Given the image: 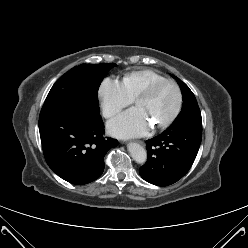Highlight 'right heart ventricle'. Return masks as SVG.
Returning <instances> with one entry per match:
<instances>
[{
    "label": "right heart ventricle",
    "instance_id": "1",
    "mask_svg": "<svg viewBox=\"0 0 248 248\" xmlns=\"http://www.w3.org/2000/svg\"><path fill=\"white\" fill-rule=\"evenodd\" d=\"M162 78H164L162 75L151 69L136 70L124 75L122 85L128 95L134 99L149 84Z\"/></svg>",
    "mask_w": 248,
    "mask_h": 248
}]
</instances>
